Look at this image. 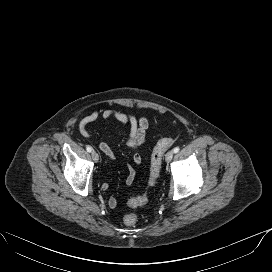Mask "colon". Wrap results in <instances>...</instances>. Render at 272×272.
Instances as JSON below:
<instances>
[{
    "mask_svg": "<svg viewBox=\"0 0 272 272\" xmlns=\"http://www.w3.org/2000/svg\"><path fill=\"white\" fill-rule=\"evenodd\" d=\"M174 143V139L171 137H166L160 139L154 146L151 153V162H150V172L148 178V187H153L160 174L162 159L164 153L170 148ZM149 195L145 193L141 196L133 197L129 199L128 206L135 208L138 206L145 205L148 202ZM123 223L126 226H134L137 223V216L133 213H128L123 217Z\"/></svg>",
    "mask_w": 272,
    "mask_h": 272,
    "instance_id": "obj_1",
    "label": "colon"
}]
</instances>
